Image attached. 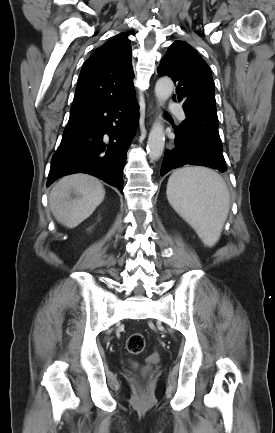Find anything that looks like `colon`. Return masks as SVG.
Returning <instances> with one entry per match:
<instances>
[{
  "instance_id": "colon-1",
  "label": "colon",
  "mask_w": 275,
  "mask_h": 433,
  "mask_svg": "<svg viewBox=\"0 0 275 433\" xmlns=\"http://www.w3.org/2000/svg\"><path fill=\"white\" fill-rule=\"evenodd\" d=\"M144 347L145 339L143 334L140 332L132 333L126 341V348L131 354H140L144 350Z\"/></svg>"
}]
</instances>
